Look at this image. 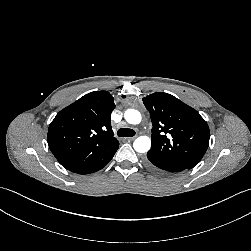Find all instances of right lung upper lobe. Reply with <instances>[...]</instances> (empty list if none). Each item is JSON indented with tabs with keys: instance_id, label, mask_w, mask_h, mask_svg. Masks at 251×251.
Listing matches in <instances>:
<instances>
[{
	"instance_id": "cb5924a9",
	"label": "right lung upper lobe",
	"mask_w": 251,
	"mask_h": 251,
	"mask_svg": "<svg viewBox=\"0 0 251 251\" xmlns=\"http://www.w3.org/2000/svg\"><path fill=\"white\" fill-rule=\"evenodd\" d=\"M114 98L95 91L61 110L48 129V145L58 162L74 173L105 163L118 149L111 127Z\"/></svg>"
}]
</instances>
